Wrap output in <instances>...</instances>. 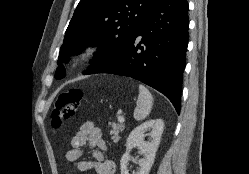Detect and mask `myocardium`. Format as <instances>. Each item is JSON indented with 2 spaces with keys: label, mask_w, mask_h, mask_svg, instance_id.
<instances>
[{
  "label": "myocardium",
  "mask_w": 249,
  "mask_h": 174,
  "mask_svg": "<svg viewBox=\"0 0 249 174\" xmlns=\"http://www.w3.org/2000/svg\"><path fill=\"white\" fill-rule=\"evenodd\" d=\"M101 48L97 43H87L83 45L80 49V57L85 60H90L98 56Z\"/></svg>",
  "instance_id": "obj_1"
}]
</instances>
